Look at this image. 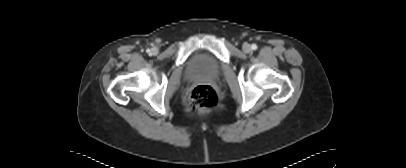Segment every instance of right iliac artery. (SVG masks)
I'll list each match as a JSON object with an SVG mask.
<instances>
[{"mask_svg":"<svg viewBox=\"0 0 406 168\" xmlns=\"http://www.w3.org/2000/svg\"><path fill=\"white\" fill-rule=\"evenodd\" d=\"M147 53H150V50H149V49H147Z\"/></svg>","mask_w":406,"mask_h":168,"instance_id":"obj_1","label":"right iliac artery"}]
</instances>
